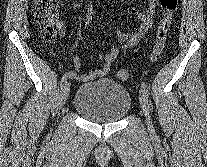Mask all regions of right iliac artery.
<instances>
[{
    "label": "right iliac artery",
    "instance_id": "obj_1",
    "mask_svg": "<svg viewBox=\"0 0 207 167\" xmlns=\"http://www.w3.org/2000/svg\"><path fill=\"white\" fill-rule=\"evenodd\" d=\"M67 74L65 73L61 79V82H60V86H61V89L63 88V86L66 84L67 82Z\"/></svg>",
    "mask_w": 207,
    "mask_h": 167
}]
</instances>
